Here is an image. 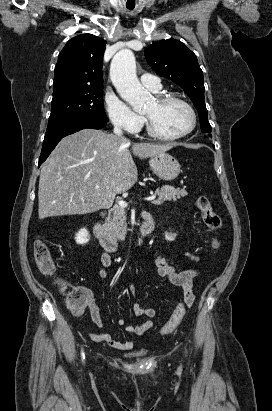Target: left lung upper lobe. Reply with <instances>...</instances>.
I'll use <instances>...</instances> for the list:
<instances>
[{
	"mask_svg": "<svg viewBox=\"0 0 272 411\" xmlns=\"http://www.w3.org/2000/svg\"><path fill=\"white\" fill-rule=\"evenodd\" d=\"M145 57L157 74L184 89L198 110L202 132L209 134L203 72L195 54L178 40H161L145 49Z\"/></svg>",
	"mask_w": 272,
	"mask_h": 411,
	"instance_id": "1",
	"label": "left lung upper lobe"
}]
</instances>
